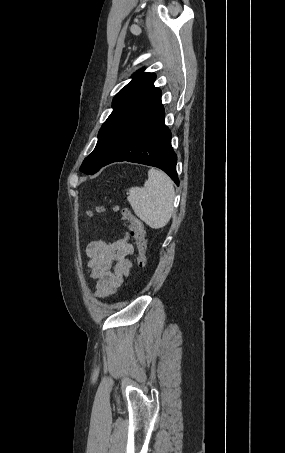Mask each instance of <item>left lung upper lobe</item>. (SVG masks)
<instances>
[{"instance_id": "left-lung-upper-lobe-1", "label": "left lung upper lobe", "mask_w": 285, "mask_h": 453, "mask_svg": "<svg viewBox=\"0 0 285 453\" xmlns=\"http://www.w3.org/2000/svg\"><path fill=\"white\" fill-rule=\"evenodd\" d=\"M156 75L139 70L133 79L113 99V111L98 133V142L93 152L84 159L80 171L94 174L103 166L108 154L128 126L161 93L153 83Z\"/></svg>"}]
</instances>
